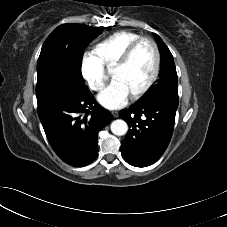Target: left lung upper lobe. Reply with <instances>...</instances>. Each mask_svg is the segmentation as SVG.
Wrapping results in <instances>:
<instances>
[{"mask_svg":"<svg viewBox=\"0 0 227 227\" xmlns=\"http://www.w3.org/2000/svg\"><path fill=\"white\" fill-rule=\"evenodd\" d=\"M155 37L161 53L159 79L137 102H146L157 97L178 102V77L173 56L162 39L157 34Z\"/></svg>","mask_w":227,"mask_h":227,"instance_id":"1","label":"left lung upper lobe"}]
</instances>
